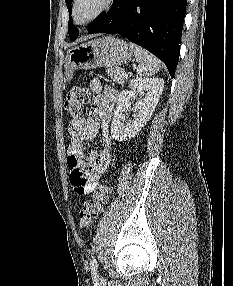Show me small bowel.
<instances>
[{
    "instance_id": "c3829d8e",
    "label": "small bowel",
    "mask_w": 233,
    "mask_h": 286,
    "mask_svg": "<svg viewBox=\"0 0 233 286\" xmlns=\"http://www.w3.org/2000/svg\"><path fill=\"white\" fill-rule=\"evenodd\" d=\"M90 89L95 95L88 117H75L68 130L67 166L69 181L78 195L93 192L111 162V136L109 122L114 111L117 91L104 85L99 79H92ZM101 133L102 149L86 152V145Z\"/></svg>"
}]
</instances>
